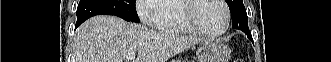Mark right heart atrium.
<instances>
[{
    "mask_svg": "<svg viewBox=\"0 0 331 62\" xmlns=\"http://www.w3.org/2000/svg\"><path fill=\"white\" fill-rule=\"evenodd\" d=\"M162 3L163 0H138L136 6L141 21L145 24L156 26L157 18L155 13Z\"/></svg>",
    "mask_w": 331,
    "mask_h": 62,
    "instance_id": "d8ad5b80",
    "label": "right heart atrium"
}]
</instances>
